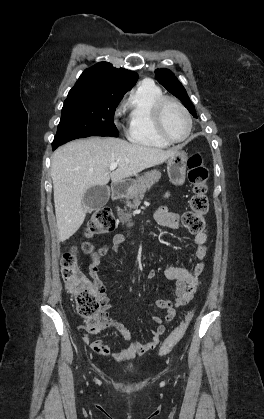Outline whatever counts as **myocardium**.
<instances>
[{
	"label": "myocardium",
	"mask_w": 264,
	"mask_h": 419,
	"mask_svg": "<svg viewBox=\"0 0 264 419\" xmlns=\"http://www.w3.org/2000/svg\"><path fill=\"white\" fill-rule=\"evenodd\" d=\"M168 103H173L174 105H176L186 117L188 128H187V132L185 136L181 139H175V138L170 137L164 129L163 112ZM153 121H154V128L157 135L163 141L169 144H177V143H182L186 141L192 131V118L189 111L178 99L171 96L163 95L155 102L154 107H153Z\"/></svg>",
	"instance_id": "1"
}]
</instances>
